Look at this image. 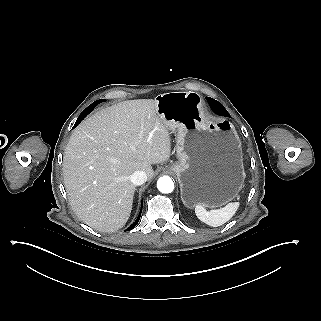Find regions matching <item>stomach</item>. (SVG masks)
I'll return each mask as SVG.
<instances>
[{
	"instance_id": "1",
	"label": "stomach",
	"mask_w": 321,
	"mask_h": 321,
	"mask_svg": "<svg viewBox=\"0 0 321 321\" xmlns=\"http://www.w3.org/2000/svg\"><path fill=\"white\" fill-rule=\"evenodd\" d=\"M160 117L176 132L178 161L169 166L180 184L183 205L218 208L235 199L245 181L242 145L232 122H203L196 92L165 93L155 98Z\"/></svg>"
}]
</instances>
